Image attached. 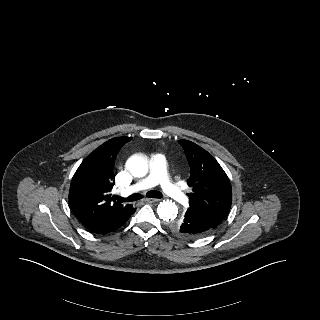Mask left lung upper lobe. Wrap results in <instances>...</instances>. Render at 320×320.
<instances>
[{
    "label": "left lung upper lobe",
    "mask_w": 320,
    "mask_h": 320,
    "mask_svg": "<svg viewBox=\"0 0 320 320\" xmlns=\"http://www.w3.org/2000/svg\"><path fill=\"white\" fill-rule=\"evenodd\" d=\"M184 148L190 165L188 185L192 187L187 211L200 215L212 226L217 227L228 215L232 203L230 181L215 158L197 144L179 140ZM180 221L172 223L178 232ZM188 238V237H186Z\"/></svg>",
    "instance_id": "5c2ea615"
}]
</instances>
